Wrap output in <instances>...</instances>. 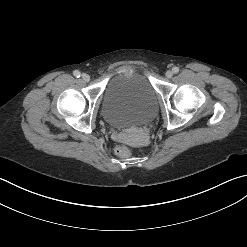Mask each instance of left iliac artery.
I'll return each instance as SVG.
<instances>
[{
    "label": "left iliac artery",
    "instance_id": "1",
    "mask_svg": "<svg viewBox=\"0 0 247 247\" xmlns=\"http://www.w3.org/2000/svg\"><path fill=\"white\" fill-rule=\"evenodd\" d=\"M172 71H173L174 73H178V72H179V68H178V67H173Z\"/></svg>",
    "mask_w": 247,
    "mask_h": 247
}]
</instances>
